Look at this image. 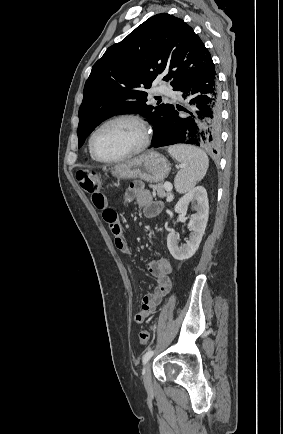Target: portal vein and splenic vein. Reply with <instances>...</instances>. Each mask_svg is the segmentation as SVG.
Listing matches in <instances>:
<instances>
[{
    "mask_svg": "<svg viewBox=\"0 0 283 434\" xmlns=\"http://www.w3.org/2000/svg\"><path fill=\"white\" fill-rule=\"evenodd\" d=\"M164 187H165V190L168 191V192H170L172 190V184L169 183V182H166L164 184Z\"/></svg>",
    "mask_w": 283,
    "mask_h": 434,
    "instance_id": "obj_1",
    "label": "portal vein and splenic vein"
}]
</instances>
